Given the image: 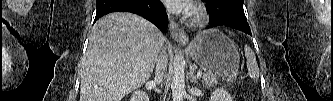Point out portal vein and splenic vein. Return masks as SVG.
Listing matches in <instances>:
<instances>
[{
    "label": "portal vein and splenic vein",
    "mask_w": 333,
    "mask_h": 101,
    "mask_svg": "<svg viewBox=\"0 0 333 101\" xmlns=\"http://www.w3.org/2000/svg\"><path fill=\"white\" fill-rule=\"evenodd\" d=\"M201 75H202V72L198 73V77H201Z\"/></svg>",
    "instance_id": "1"
}]
</instances>
